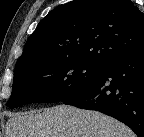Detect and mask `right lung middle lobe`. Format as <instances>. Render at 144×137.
<instances>
[{"label":"right lung middle lobe","mask_w":144,"mask_h":137,"mask_svg":"<svg viewBox=\"0 0 144 137\" xmlns=\"http://www.w3.org/2000/svg\"><path fill=\"white\" fill-rule=\"evenodd\" d=\"M104 66L68 58L15 67L11 108L34 102L64 101L82 91L103 73Z\"/></svg>","instance_id":"1"}]
</instances>
